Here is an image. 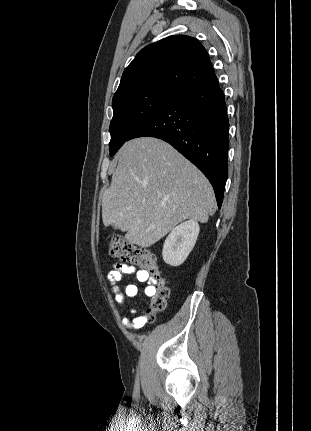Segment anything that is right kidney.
Instances as JSON below:
<instances>
[{
	"instance_id": "1",
	"label": "right kidney",
	"mask_w": 311,
	"mask_h": 431,
	"mask_svg": "<svg viewBox=\"0 0 311 431\" xmlns=\"http://www.w3.org/2000/svg\"><path fill=\"white\" fill-rule=\"evenodd\" d=\"M200 227L196 219H188L176 225L167 235L163 245V259L170 265H181L193 249Z\"/></svg>"
}]
</instances>
